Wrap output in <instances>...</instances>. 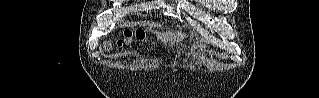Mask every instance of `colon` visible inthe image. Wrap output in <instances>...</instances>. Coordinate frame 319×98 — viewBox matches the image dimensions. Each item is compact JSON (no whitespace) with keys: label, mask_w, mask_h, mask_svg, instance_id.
I'll return each mask as SVG.
<instances>
[{"label":"colon","mask_w":319,"mask_h":98,"mask_svg":"<svg viewBox=\"0 0 319 98\" xmlns=\"http://www.w3.org/2000/svg\"><path fill=\"white\" fill-rule=\"evenodd\" d=\"M145 39V33L142 30H126L124 32V38L119 42L120 45L122 44H131L133 42H141Z\"/></svg>","instance_id":"1"}]
</instances>
